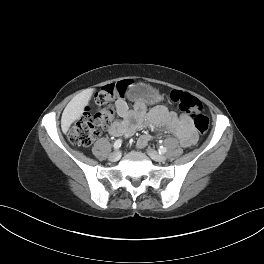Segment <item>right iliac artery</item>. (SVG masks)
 <instances>
[{"mask_svg": "<svg viewBox=\"0 0 264 264\" xmlns=\"http://www.w3.org/2000/svg\"><path fill=\"white\" fill-rule=\"evenodd\" d=\"M121 144H122V140L121 139L116 140L114 142V145H113L114 149L115 150L119 149L121 147Z\"/></svg>", "mask_w": 264, "mask_h": 264, "instance_id": "1", "label": "right iliac artery"}]
</instances>
